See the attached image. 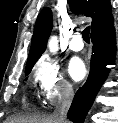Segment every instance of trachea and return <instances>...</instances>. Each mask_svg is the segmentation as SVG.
<instances>
[{"label":"trachea","instance_id":"1","mask_svg":"<svg viewBox=\"0 0 118 123\" xmlns=\"http://www.w3.org/2000/svg\"><path fill=\"white\" fill-rule=\"evenodd\" d=\"M89 33H90V27H89V26L86 27V28L82 31L83 40L86 41V42H90Z\"/></svg>","mask_w":118,"mask_h":123}]
</instances>
